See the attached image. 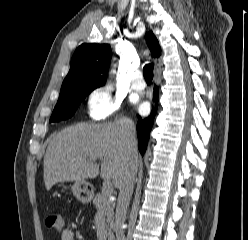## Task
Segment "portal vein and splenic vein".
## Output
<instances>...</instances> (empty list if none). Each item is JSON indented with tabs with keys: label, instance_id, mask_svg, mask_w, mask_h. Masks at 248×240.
<instances>
[{
	"label": "portal vein and splenic vein",
	"instance_id": "18ae733b",
	"mask_svg": "<svg viewBox=\"0 0 248 240\" xmlns=\"http://www.w3.org/2000/svg\"><path fill=\"white\" fill-rule=\"evenodd\" d=\"M102 192L107 196L111 195V193L113 192V187L110 180H105L103 182Z\"/></svg>",
	"mask_w": 248,
	"mask_h": 240
}]
</instances>
